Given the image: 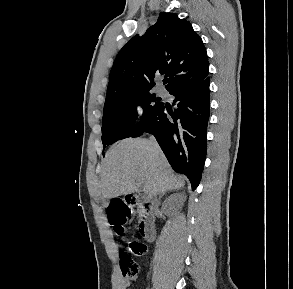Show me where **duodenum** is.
Returning a JSON list of instances; mask_svg holds the SVG:
<instances>
[{
  "instance_id": "410a0bca",
  "label": "duodenum",
  "mask_w": 293,
  "mask_h": 289,
  "mask_svg": "<svg viewBox=\"0 0 293 289\" xmlns=\"http://www.w3.org/2000/svg\"><path fill=\"white\" fill-rule=\"evenodd\" d=\"M127 202L136 208L140 214L138 229L140 234L149 242L155 239L154 206L151 202H143L136 194L127 195Z\"/></svg>"
}]
</instances>
